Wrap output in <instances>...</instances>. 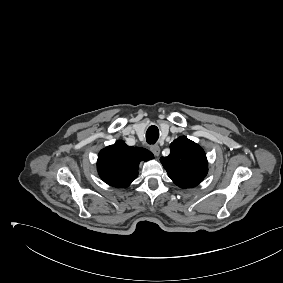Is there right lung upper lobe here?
<instances>
[{"label":"right lung upper lobe","mask_w":283,"mask_h":283,"mask_svg":"<svg viewBox=\"0 0 283 283\" xmlns=\"http://www.w3.org/2000/svg\"><path fill=\"white\" fill-rule=\"evenodd\" d=\"M153 158L149 150L130 147L119 140L100 151L97 161L98 174L108 185L125 188L138 176L139 163Z\"/></svg>","instance_id":"right-lung-upper-lobe-1"}]
</instances>
